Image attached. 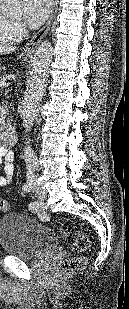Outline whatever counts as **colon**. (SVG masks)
<instances>
[{
    "label": "colon",
    "mask_w": 129,
    "mask_h": 309,
    "mask_svg": "<svg viewBox=\"0 0 129 309\" xmlns=\"http://www.w3.org/2000/svg\"><path fill=\"white\" fill-rule=\"evenodd\" d=\"M10 208V203L2 198H0V211H7ZM38 216L40 218L45 219L46 214L43 211H38ZM60 233L64 236H69L74 239V249L77 252L85 253L90 248V239L89 237L82 231H69L65 229H59ZM86 263V258L84 256H74L66 259L62 263V271L64 273H74L79 271L84 267Z\"/></svg>",
    "instance_id": "1"
}]
</instances>
